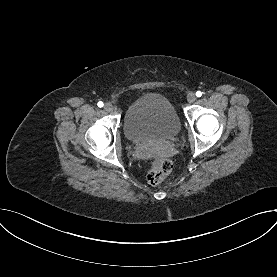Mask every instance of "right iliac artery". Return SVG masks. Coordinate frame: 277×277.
Listing matches in <instances>:
<instances>
[{
    "mask_svg": "<svg viewBox=\"0 0 277 277\" xmlns=\"http://www.w3.org/2000/svg\"><path fill=\"white\" fill-rule=\"evenodd\" d=\"M98 106L101 108V107H103V102H98Z\"/></svg>",
    "mask_w": 277,
    "mask_h": 277,
    "instance_id": "1",
    "label": "right iliac artery"
}]
</instances>
